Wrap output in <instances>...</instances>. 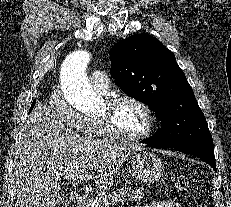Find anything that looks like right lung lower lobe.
Instances as JSON below:
<instances>
[{"mask_svg":"<svg viewBox=\"0 0 231 207\" xmlns=\"http://www.w3.org/2000/svg\"><path fill=\"white\" fill-rule=\"evenodd\" d=\"M33 106H34V102H33L32 106H31V109L33 108Z\"/></svg>","mask_w":231,"mask_h":207,"instance_id":"right-lung-lower-lobe-1","label":"right lung lower lobe"}]
</instances>
